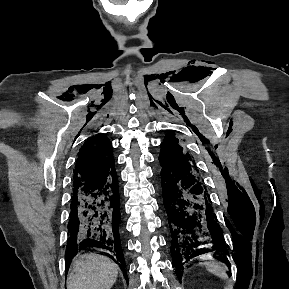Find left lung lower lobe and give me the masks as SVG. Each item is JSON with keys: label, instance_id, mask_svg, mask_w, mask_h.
Returning a JSON list of instances; mask_svg holds the SVG:
<instances>
[{"label": "left lung lower lobe", "instance_id": "obj_1", "mask_svg": "<svg viewBox=\"0 0 289 289\" xmlns=\"http://www.w3.org/2000/svg\"><path fill=\"white\" fill-rule=\"evenodd\" d=\"M161 191L179 280L189 259L216 250L227 253L203 178L183 155L161 150Z\"/></svg>", "mask_w": 289, "mask_h": 289}]
</instances>
